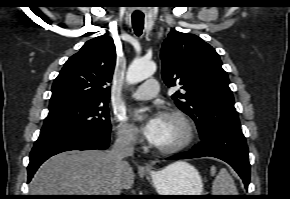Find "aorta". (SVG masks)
<instances>
[{
	"label": "aorta",
	"mask_w": 290,
	"mask_h": 199,
	"mask_svg": "<svg viewBox=\"0 0 290 199\" xmlns=\"http://www.w3.org/2000/svg\"><path fill=\"white\" fill-rule=\"evenodd\" d=\"M156 71V64L153 61L135 59L128 68L126 79L130 84L139 83L151 77Z\"/></svg>",
	"instance_id": "1"
}]
</instances>
